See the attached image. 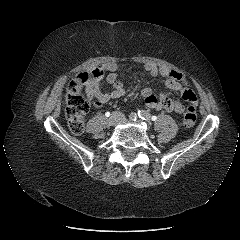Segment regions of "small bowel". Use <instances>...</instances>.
Returning <instances> with one entry per match:
<instances>
[{
    "instance_id": "c3829d8e",
    "label": "small bowel",
    "mask_w": 240,
    "mask_h": 240,
    "mask_svg": "<svg viewBox=\"0 0 240 240\" xmlns=\"http://www.w3.org/2000/svg\"><path fill=\"white\" fill-rule=\"evenodd\" d=\"M104 74L102 78L93 79L87 86V93L90 99L93 101L95 107H101L105 103L113 99L121 98L125 90L123 85L118 81L116 63H108L102 68ZM145 71L151 76H161L166 91L155 95L153 90L146 87L142 90L141 96L143 97L145 105L153 110H165L168 112L182 113L185 110V106L178 101L172 100L170 97V91L180 92L182 98L187 103L197 104V97L192 87L187 83L185 76L173 69L167 67H161L155 63L149 62L144 65ZM105 79L107 83L112 86L111 91L102 92L99 88L100 82Z\"/></svg>"
}]
</instances>
